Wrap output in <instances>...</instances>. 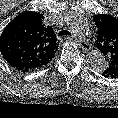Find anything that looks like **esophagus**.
<instances>
[{
    "label": "esophagus",
    "instance_id": "obj_1",
    "mask_svg": "<svg viewBox=\"0 0 118 118\" xmlns=\"http://www.w3.org/2000/svg\"><path fill=\"white\" fill-rule=\"evenodd\" d=\"M65 39L73 40V37H69V36H68V37H65ZM74 40L79 43V46H80L83 50H85V51L91 50V45H90L88 42L83 41V40H79V39H77V38H75Z\"/></svg>",
    "mask_w": 118,
    "mask_h": 118
}]
</instances>
